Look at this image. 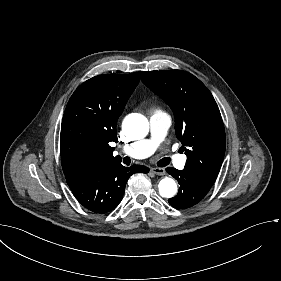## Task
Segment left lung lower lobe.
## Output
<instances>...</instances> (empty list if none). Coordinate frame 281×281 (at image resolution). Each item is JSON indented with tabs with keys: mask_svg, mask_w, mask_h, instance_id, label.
Returning <instances> with one entry per match:
<instances>
[{
	"mask_svg": "<svg viewBox=\"0 0 281 281\" xmlns=\"http://www.w3.org/2000/svg\"><path fill=\"white\" fill-rule=\"evenodd\" d=\"M166 171L180 184L178 194L168 200L169 204L177 209H186L196 205L212 186L186 169L180 171L175 168H167Z\"/></svg>",
	"mask_w": 281,
	"mask_h": 281,
	"instance_id": "1",
	"label": "left lung lower lobe"
}]
</instances>
